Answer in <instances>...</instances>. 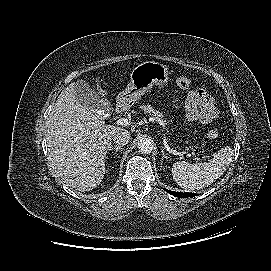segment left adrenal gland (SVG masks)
I'll return each mask as SVG.
<instances>
[{"label":"left adrenal gland","mask_w":271,"mask_h":271,"mask_svg":"<svg viewBox=\"0 0 271 271\" xmlns=\"http://www.w3.org/2000/svg\"><path fill=\"white\" fill-rule=\"evenodd\" d=\"M161 152H162V156H163V158H167V156H166V154H165V152H164V149H163V148H161Z\"/></svg>","instance_id":"1"}]
</instances>
